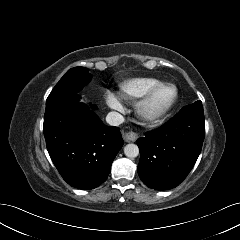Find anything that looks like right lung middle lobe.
<instances>
[{
    "instance_id": "right-lung-middle-lobe-1",
    "label": "right lung middle lobe",
    "mask_w": 240,
    "mask_h": 240,
    "mask_svg": "<svg viewBox=\"0 0 240 240\" xmlns=\"http://www.w3.org/2000/svg\"><path fill=\"white\" fill-rule=\"evenodd\" d=\"M91 78V74L85 67H74L68 70L53 88L46 103L59 97L77 94Z\"/></svg>"
}]
</instances>
